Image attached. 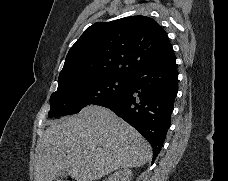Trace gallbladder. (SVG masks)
<instances>
[{"label": "gallbladder", "instance_id": "obj_1", "mask_svg": "<svg viewBox=\"0 0 228 181\" xmlns=\"http://www.w3.org/2000/svg\"><path fill=\"white\" fill-rule=\"evenodd\" d=\"M70 171H71V167H70L69 171H64V175H69Z\"/></svg>", "mask_w": 228, "mask_h": 181}]
</instances>
